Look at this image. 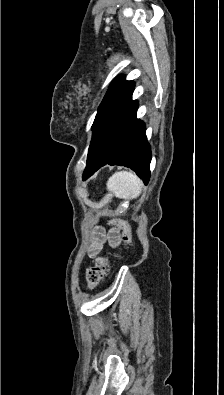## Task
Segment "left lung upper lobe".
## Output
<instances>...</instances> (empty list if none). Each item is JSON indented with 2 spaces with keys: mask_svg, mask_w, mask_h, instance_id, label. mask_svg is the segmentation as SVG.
<instances>
[{
  "mask_svg": "<svg viewBox=\"0 0 224 395\" xmlns=\"http://www.w3.org/2000/svg\"><path fill=\"white\" fill-rule=\"evenodd\" d=\"M131 81H125L123 76L117 77L112 84L110 85L100 107L103 108L107 103H109L112 99H114L122 90H124Z\"/></svg>",
  "mask_w": 224,
  "mask_h": 395,
  "instance_id": "obj_1",
  "label": "left lung upper lobe"
}]
</instances>
